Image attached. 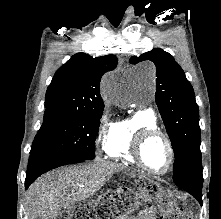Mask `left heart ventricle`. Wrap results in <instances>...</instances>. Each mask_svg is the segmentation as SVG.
Returning <instances> with one entry per match:
<instances>
[{
    "label": "left heart ventricle",
    "mask_w": 221,
    "mask_h": 219,
    "mask_svg": "<svg viewBox=\"0 0 221 219\" xmlns=\"http://www.w3.org/2000/svg\"><path fill=\"white\" fill-rule=\"evenodd\" d=\"M146 164L156 171H164L169 162V152L165 141L160 137L149 140L143 148Z\"/></svg>",
    "instance_id": "b2bd125f"
}]
</instances>
